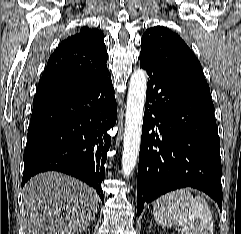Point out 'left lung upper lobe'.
<instances>
[{"instance_id": "obj_1", "label": "left lung upper lobe", "mask_w": 241, "mask_h": 234, "mask_svg": "<svg viewBox=\"0 0 241 234\" xmlns=\"http://www.w3.org/2000/svg\"><path fill=\"white\" fill-rule=\"evenodd\" d=\"M140 55L173 74L208 86L194 53L167 27L156 26L146 30L142 36Z\"/></svg>"}]
</instances>
